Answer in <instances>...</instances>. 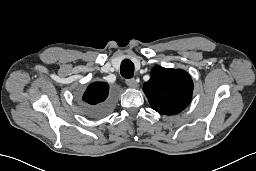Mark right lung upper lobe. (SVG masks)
Segmentation results:
<instances>
[{"instance_id":"obj_1","label":"right lung upper lobe","mask_w":256,"mask_h":171,"mask_svg":"<svg viewBox=\"0 0 256 171\" xmlns=\"http://www.w3.org/2000/svg\"><path fill=\"white\" fill-rule=\"evenodd\" d=\"M109 85L105 82H94L90 84L82 99L86 107L101 104L109 99Z\"/></svg>"}]
</instances>
